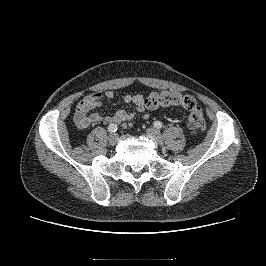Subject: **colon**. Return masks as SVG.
<instances>
[{
    "label": "colon",
    "instance_id": "5ec220e1",
    "mask_svg": "<svg viewBox=\"0 0 266 266\" xmlns=\"http://www.w3.org/2000/svg\"><path fill=\"white\" fill-rule=\"evenodd\" d=\"M145 105L149 109L169 106L182 107L188 111V127L191 133L199 134L206 128L203 110L196 99L190 95L171 91L152 93L145 100Z\"/></svg>",
    "mask_w": 266,
    "mask_h": 266
}]
</instances>
